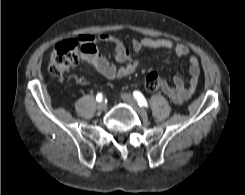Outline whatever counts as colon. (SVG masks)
Listing matches in <instances>:
<instances>
[{"instance_id":"colon-1","label":"colon","mask_w":245,"mask_h":195,"mask_svg":"<svg viewBox=\"0 0 245 195\" xmlns=\"http://www.w3.org/2000/svg\"><path fill=\"white\" fill-rule=\"evenodd\" d=\"M82 50L83 47L74 39L63 40L56 44L50 56L49 73L55 77H62L74 69ZM164 83V79L159 74L152 72L146 76L144 88L152 93L162 89Z\"/></svg>"}]
</instances>
